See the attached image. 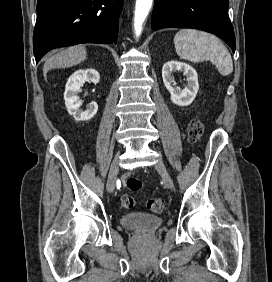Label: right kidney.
<instances>
[{
    "label": "right kidney",
    "mask_w": 272,
    "mask_h": 282,
    "mask_svg": "<svg viewBox=\"0 0 272 282\" xmlns=\"http://www.w3.org/2000/svg\"><path fill=\"white\" fill-rule=\"evenodd\" d=\"M85 81H89L94 84L99 83V72L95 69L77 70L69 77L65 86V105L68 113L72 115L76 121H88L97 113L98 110L96 102L90 103L88 109L85 111L80 109L81 101L79 100L77 94L81 91V85L85 83Z\"/></svg>",
    "instance_id": "obj_1"
}]
</instances>
